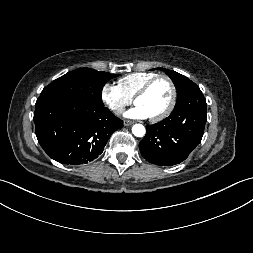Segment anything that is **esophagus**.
<instances>
[{
  "mask_svg": "<svg viewBox=\"0 0 253 253\" xmlns=\"http://www.w3.org/2000/svg\"><path fill=\"white\" fill-rule=\"evenodd\" d=\"M133 123H134L133 121L125 120V121H124V126H130V125H132Z\"/></svg>",
  "mask_w": 253,
  "mask_h": 253,
  "instance_id": "esophagus-1",
  "label": "esophagus"
}]
</instances>
